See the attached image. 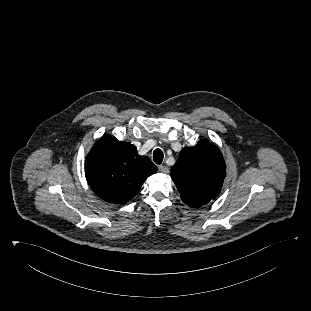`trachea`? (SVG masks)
<instances>
[{
    "instance_id": "1",
    "label": "trachea",
    "mask_w": 311,
    "mask_h": 311,
    "mask_svg": "<svg viewBox=\"0 0 311 311\" xmlns=\"http://www.w3.org/2000/svg\"><path fill=\"white\" fill-rule=\"evenodd\" d=\"M163 152L161 149H155L153 152V159L156 164H161L163 161Z\"/></svg>"
}]
</instances>
